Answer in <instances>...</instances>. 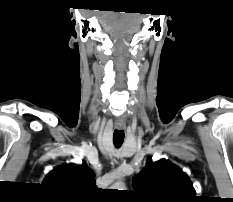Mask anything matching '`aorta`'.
Listing matches in <instances>:
<instances>
[{
  "instance_id": "1",
  "label": "aorta",
  "mask_w": 233,
  "mask_h": 202,
  "mask_svg": "<svg viewBox=\"0 0 233 202\" xmlns=\"http://www.w3.org/2000/svg\"><path fill=\"white\" fill-rule=\"evenodd\" d=\"M117 188H124V183L119 181L117 182L114 186L113 189H117ZM119 190H123V189H119Z\"/></svg>"
}]
</instances>
